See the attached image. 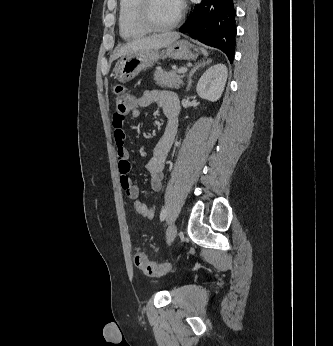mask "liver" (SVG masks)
<instances>
[{"label": "liver", "mask_w": 333, "mask_h": 346, "mask_svg": "<svg viewBox=\"0 0 333 346\" xmlns=\"http://www.w3.org/2000/svg\"><path fill=\"white\" fill-rule=\"evenodd\" d=\"M180 35L176 32H168L164 34L151 35L145 38L137 39L120 48H117L114 52L113 59H117L121 56H125L138 51L161 49L168 47L173 42L177 41Z\"/></svg>", "instance_id": "1"}]
</instances>
